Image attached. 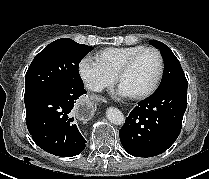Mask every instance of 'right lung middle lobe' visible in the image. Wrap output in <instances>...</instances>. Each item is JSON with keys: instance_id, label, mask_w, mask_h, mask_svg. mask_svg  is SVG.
Masks as SVG:
<instances>
[{"instance_id": "1", "label": "right lung middle lobe", "mask_w": 209, "mask_h": 179, "mask_svg": "<svg viewBox=\"0 0 209 179\" xmlns=\"http://www.w3.org/2000/svg\"><path fill=\"white\" fill-rule=\"evenodd\" d=\"M93 47L61 38L35 56L25 75V107L44 94L59 88L83 86L78 68L82 58Z\"/></svg>"}]
</instances>
